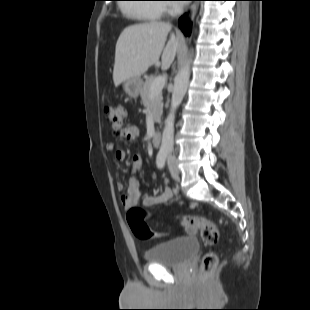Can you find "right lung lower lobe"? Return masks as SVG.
<instances>
[{"mask_svg": "<svg viewBox=\"0 0 310 310\" xmlns=\"http://www.w3.org/2000/svg\"><path fill=\"white\" fill-rule=\"evenodd\" d=\"M187 20V15L184 14L180 19H179V27L183 31V33L188 36L190 32V24L186 21Z\"/></svg>", "mask_w": 310, "mask_h": 310, "instance_id": "98d812e1", "label": "right lung lower lobe"}]
</instances>
